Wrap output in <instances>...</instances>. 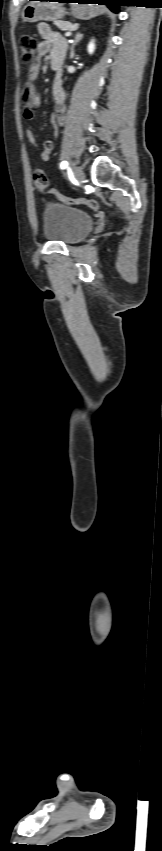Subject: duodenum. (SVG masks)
Masks as SVG:
<instances>
[{
	"label": "duodenum",
	"instance_id": "obj_1",
	"mask_svg": "<svg viewBox=\"0 0 162 851\" xmlns=\"http://www.w3.org/2000/svg\"><path fill=\"white\" fill-rule=\"evenodd\" d=\"M51 64H52V68H53L54 70H59V68H60V66H61V65H60V63H59L58 61H52V62H51Z\"/></svg>",
	"mask_w": 162,
	"mask_h": 851
}]
</instances>
